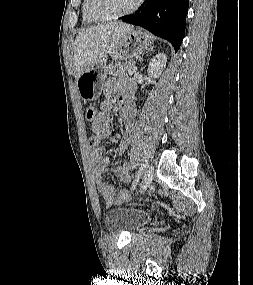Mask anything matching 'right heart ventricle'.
<instances>
[{
  "instance_id": "obj_1",
  "label": "right heart ventricle",
  "mask_w": 253,
  "mask_h": 285,
  "mask_svg": "<svg viewBox=\"0 0 253 285\" xmlns=\"http://www.w3.org/2000/svg\"><path fill=\"white\" fill-rule=\"evenodd\" d=\"M82 18L85 23H96L99 20L95 19L90 15L87 8V0H83L82 4Z\"/></svg>"
}]
</instances>
